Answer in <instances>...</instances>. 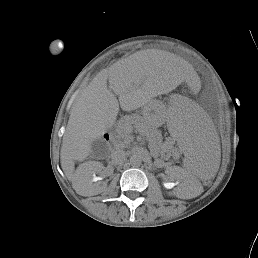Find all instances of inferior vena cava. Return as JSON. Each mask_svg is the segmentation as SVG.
Listing matches in <instances>:
<instances>
[{
  "label": "inferior vena cava",
  "instance_id": "obj_1",
  "mask_svg": "<svg viewBox=\"0 0 258 258\" xmlns=\"http://www.w3.org/2000/svg\"><path fill=\"white\" fill-rule=\"evenodd\" d=\"M115 160L117 163H122L125 160V152L118 151V153L115 155Z\"/></svg>",
  "mask_w": 258,
  "mask_h": 258
}]
</instances>
